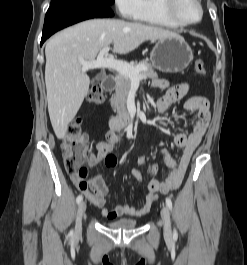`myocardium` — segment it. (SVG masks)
I'll use <instances>...</instances> for the list:
<instances>
[{
  "label": "myocardium",
  "mask_w": 247,
  "mask_h": 265,
  "mask_svg": "<svg viewBox=\"0 0 247 265\" xmlns=\"http://www.w3.org/2000/svg\"><path fill=\"white\" fill-rule=\"evenodd\" d=\"M180 0H162V7L165 11V13L168 15V17L175 22L176 24H178L179 26L182 27H187V26H193L198 24L199 22H201V20L203 19L204 16V8L203 5L201 3V0H194V2L197 4L198 8H199V18L195 21H185L181 18V16L178 13V4H179Z\"/></svg>",
  "instance_id": "myocardium-1"
}]
</instances>
